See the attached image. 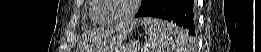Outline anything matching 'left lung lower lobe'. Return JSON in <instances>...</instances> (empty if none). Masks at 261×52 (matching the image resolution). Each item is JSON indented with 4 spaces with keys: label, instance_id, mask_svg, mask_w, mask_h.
Segmentation results:
<instances>
[{
    "label": "left lung lower lobe",
    "instance_id": "left-lung-lower-lobe-1",
    "mask_svg": "<svg viewBox=\"0 0 261 52\" xmlns=\"http://www.w3.org/2000/svg\"><path fill=\"white\" fill-rule=\"evenodd\" d=\"M152 16L168 20L186 29L192 35L196 33V15L193 0H153L141 9L135 17Z\"/></svg>",
    "mask_w": 261,
    "mask_h": 52
}]
</instances>
